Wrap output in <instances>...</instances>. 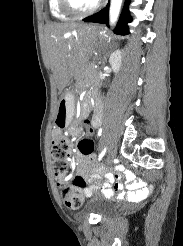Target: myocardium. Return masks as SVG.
Here are the masks:
<instances>
[{"label":"myocardium","instance_id":"obj_1","mask_svg":"<svg viewBox=\"0 0 183 246\" xmlns=\"http://www.w3.org/2000/svg\"><path fill=\"white\" fill-rule=\"evenodd\" d=\"M61 9L67 13L69 16L80 18L91 15L94 13L101 5V0H97L91 7L85 10L78 9L72 0H59Z\"/></svg>","mask_w":183,"mask_h":246}]
</instances>
